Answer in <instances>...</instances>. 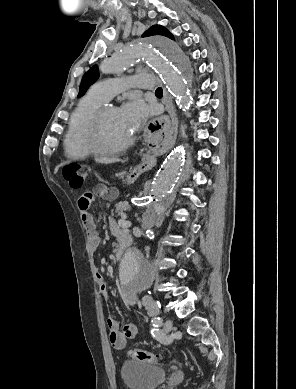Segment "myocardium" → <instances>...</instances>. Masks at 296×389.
<instances>
[{
    "label": "myocardium",
    "mask_w": 296,
    "mask_h": 389,
    "mask_svg": "<svg viewBox=\"0 0 296 389\" xmlns=\"http://www.w3.org/2000/svg\"><path fill=\"white\" fill-rule=\"evenodd\" d=\"M110 109H115L113 107H102L95 114L88 133V146L90 151L93 154L99 155H112L118 154L129 148L133 142L134 138L130 137L126 142L121 145L110 147L103 143L102 141V125L106 113Z\"/></svg>",
    "instance_id": "1"
}]
</instances>
